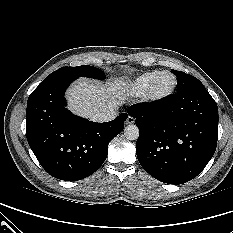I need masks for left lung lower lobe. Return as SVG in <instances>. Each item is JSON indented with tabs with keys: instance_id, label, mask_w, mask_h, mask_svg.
<instances>
[{
	"instance_id": "left-lung-lower-lobe-1",
	"label": "left lung lower lobe",
	"mask_w": 233,
	"mask_h": 233,
	"mask_svg": "<svg viewBox=\"0 0 233 233\" xmlns=\"http://www.w3.org/2000/svg\"><path fill=\"white\" fill-rule=\"evenodd\" d=\"M140 130L141 166L157 180L183 184L195 178L214 155L218 108L205 87L191 88L152 103L129 107Z\"/></svg>"
}]
</instances>
